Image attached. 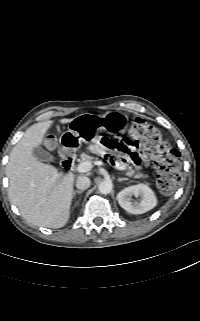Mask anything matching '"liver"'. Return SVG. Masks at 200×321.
Masks as SVG:
<instances>
[{"instance_id": "obj_1", "label": "liver", "mask_w": 200, "mask_h": 321, "mask_svg": "<svg viewBox=\"0 0 200 321\" xmlns=\"http://www.w3.org/2000/svg\"><path fill=\"white\" fill-rule=\"evenodd\" d=\"M72 119H61L62 124ZM53 121L30 126L10 153L6 166L9 178L8 196L29 223L48 228H61L69 220L73 197L74 175L58 172L33 156Z\"/></svg>"}]
</instances>
